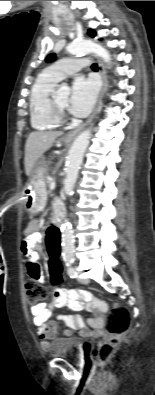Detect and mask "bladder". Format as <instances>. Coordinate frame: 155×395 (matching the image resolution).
<instances>
[{"instance_id":"obj_1","label":"bladder","mask_w":155,"mask_h":395,"mask_svg":"<svg viewBox=\"0 0 155 395\" xmlns=\"http://www.w3.org/2000/svg\"><path fill=\"white\" fill-rule=\"evenodd\" d=\"M89 345L77 338H57L51 343L50 353L54 357L83 359Z\"/></svg>"}]
</instances>
